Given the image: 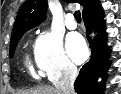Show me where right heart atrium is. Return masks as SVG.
Masks as SVG:
<instances>
[{"label": "right heart atrium", "instance_id": "1", "mask_svg": "<svg viewBox=\"0 0 121 94\" xmlns=\"http://www.w3.org/2000/svg\"><path fill=\"white\" fill-rule=\"evenodd\" d=\"M33 54L38 71L50 80L70 78L77 72L63 48L61 37L52 31H43L38 35Z\"/></svg>", "mask_w": 121, "mask_h": 94}]
</instances>
